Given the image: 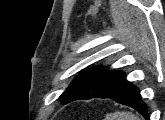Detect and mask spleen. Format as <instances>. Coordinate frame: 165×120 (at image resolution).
<instances>
[{
    "label": "spleen",
    "instance_id": "1",
    "mask_svg": "<svg viewBox=\"0 0 165 120\" xmlns=\"http://www.w3.org/2000/svg\"><path fill=\"white\" fill-rule=\"evenodd\" d=\"M105 120H139V118L131 112L122 111L107 114Z\"/></svg>",
    "mask_w": 165,
    "mask_h": 120
}]
</instances>
